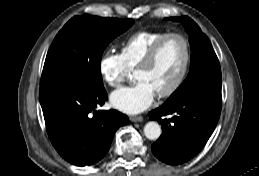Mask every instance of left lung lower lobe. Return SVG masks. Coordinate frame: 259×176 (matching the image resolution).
I'll return each instance as SVG.
<instances>
[{"label": "left lung lower lobe", "instance_id": "1", "mask_svg": "<svg viewBox=\"0 0 259 176\" xmlns=\"http://www.w3.org/2000/svg\"><path fill=\"white\" fill-rule=\"evenodd\" d=\"M221 102V96L200 93L151 111L150 119L162 126L160 138L152 145L153 154L169 165L182 164L196 156L217 125ZM167 115L173 117L165 118Z\"/></svg>", "mask_w": 259, "mask_h": 176}]
</instances>
